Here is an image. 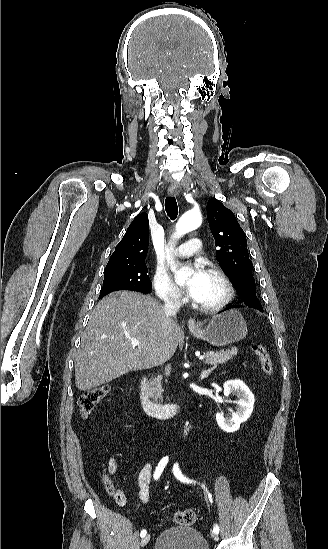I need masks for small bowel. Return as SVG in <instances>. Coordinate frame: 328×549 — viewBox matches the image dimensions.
<instances>
[{
    "label": "small bowel",
    "mask_w": 328,
    "mask_h": 549,
    "mask_svg": "<svg viewBox=\"0 0 328 549\" xmlns=\"http://www.w3.org/2000/svg\"><path fill=\"white\" fill-rule=\"evenodd\" d=\"M119 468V464L117 460L113 457H111L108 460L107 464V472L109 475H114ZM152 464L147 463L145 466L142 467V469L139 471L138 474V484H139V496L141 501L147 502L149 500L150 495V485L152 481ZM154 477V475H153ZM104 485L106 487L107 492L113 497L114 501L119 506H126L131 504L130 500L127 498L126 494L122 490V488L119 485L113 484V482L106 476L103 479Z\"/></svg>",
    "instance_id": "obj_1"
}]
</instances>
